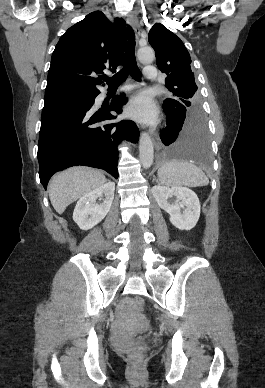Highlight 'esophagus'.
<instances>
[{"mask_svg": "<svg viewBox=\"0 0 265 388\" xmlns=\"http://www.w3.org/2000/svg\"><path fill=\"white\" fill-rule=\"evenodd\" d=\"M127 21L129 23V25H131V27L134 29L136 36H138L140 34V26H139V20H138L137 16L133 13H130L127 17ZM150 135L154 140L156 148L157 149L162 148V146H163L162 142H161L160 138L156 135L154 130H150Z\"/></svg>", "mask_w": 265, "mask_h": 388, "instance_id": "34e87169", "label": "esophagus"}]
</instances>
